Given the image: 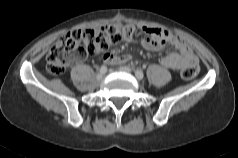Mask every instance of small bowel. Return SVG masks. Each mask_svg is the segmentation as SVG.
Wrapping results in <instances>:
<instances>
[{
    "label": "small bowel",
    "instance_id": "obj_1",
    "mask_svg": "<svg viewBox=\"0 0 238 158\" xmlns=\"http://www.w3.org/2000/svg\"><path fill=\"white\" fill-rule=\"evenodd\" d=\"M141 30L144 33V37L140 39V44L145 49L151 51H159L163 49L167 44H170L177 50V52L168 53L159 59V63L162 66L178 70L186 66L198 65V59L194 55L192 49L180 37L172 34L167 30L157 27L143 26ZM132 37H130L128 40H131ZM130 59L131 56L128 54L117 55L114 53L106 52L103 55V60L110 65L124 64Z\"/></svg>",
    "mask_w": 238,
    "mask_h": 158
}]
</instances>
